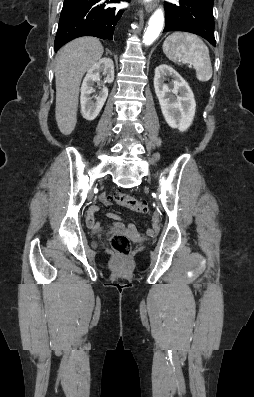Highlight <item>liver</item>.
Wrapping results in <instances>:
<instances>
[{"label": "liver", "mask_w": 254, "mask_h": 397, "mask_svg": "<svg viewBox=\"0 0 254 397\" xmlns=\"http://www.w3.org/2000/svg\"><path fill=\"white\" fill-rule=\"evenodd\" d=\"M104 52L94 37H81L66 44L56 55L55 116L63 135L72 133L77 122L79 87L81 80Z\"/></svg>", "instance_id": "obj_1"}]
</instances>
